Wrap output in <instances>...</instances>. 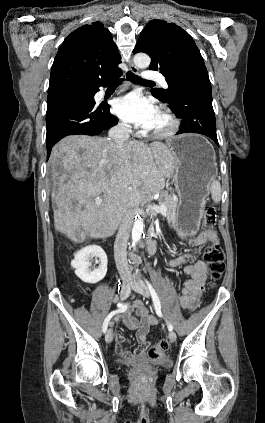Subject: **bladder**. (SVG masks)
Wrapping results in <instances>:
<instances>
[{
  "mask_svg": "<svg viewBox=\"0 0 265 423\" xmlns=\"http://www.w3.org/2000/svg\"><path fill=\"white\" fill-rule=\"evenodd\" d=\"M127 362H128V361H126V360H120V361H119V363H120V364H122V365L127 364Z\"/></svg>",
  "mask_w": 265,
  "mask_h": 423,
  "instance_id": "1",
  "label": "bladder"
}]
</instances>
